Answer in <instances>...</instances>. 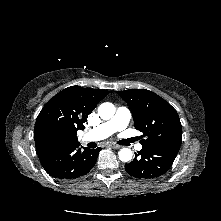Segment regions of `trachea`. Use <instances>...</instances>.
<instances>
[{
	"label": "trachea",
	"mask_w": 221,
	"mask_h": 221,
	"mask_svg": "<svg viewBox=\"0 0 221 221\" xmlns=\"http://www.w3.org/2000/svg\"><path fill=\"white\" fill-rule=\"evenodd\" d=\"M118 144H123V142L121 141V142H119Z\"/></svg>",
	"instance_id": "1"
}]
</instances>
